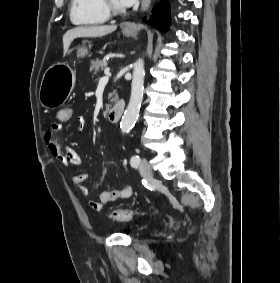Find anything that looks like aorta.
<instances>
[{
	"instance_id": "aorta-1",
	"label": "aorta",
	"mask_w": 280,
	"mask_h": 283,
	"mask_svg": "<svg viewBox=\"0 0 280 283\" xmlns=\"http://www.w3.org/2000/svg\"><path fill=\"white\" fill-rule=\"evenodd\" d=\"M144 76V61L138 59L133 65L130 101L120 122V128L123 133H128L138 119L143 99Z\"/></svg>"
}]
</instances>
